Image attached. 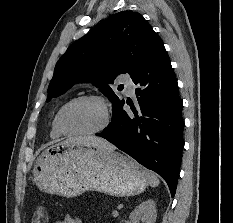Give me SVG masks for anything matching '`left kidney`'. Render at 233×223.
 Here are the masks:
<instances>
[{"label":"left kidney","mask_w":233,"mask_h":223,"mask_svg":"<svg viewBox=\"0 0 233 223\" xmlns=\"http://www.w3.org/2000/svg\"><path fill=\"white\" fill-rule=\"evenodd\" d=\"M157 217L156 203L154 199H146L135 207L134 211L130 213L131 223H155Z\"/></svg>","instance_id":"obj_1"}]
</instances>
